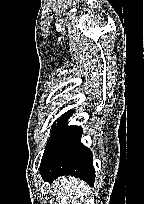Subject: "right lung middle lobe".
Returning a JSON list of instances; mask_svg holds the SVG:
<instances>
[{
	"label": "right lung middle lobe",
	"mask_w": 144,
	"mask_h": 204,
	"mask_svg": "<svg viewBox=\"0 0 144 204\" xmlns=\"http://www.w3.org/2000/svg\"><path fill=\"white\" fill-rule=\"evenodd\" d=\"M62 118V117H61ZM61 118H60V120H61ZM59 120V119H58ZM57 120V121H58ZM60 120H59V122H60ZM59 122L57 123V126H58V124H59ZM57 126L55 127V125H54V127H53V132H52V134H51V137H50V139L52 138V136L54 135V133H55V131H56V129H57ZM49 139V140H50ZM49 142V141H48Z\"/></svg>",
	"instance_id": "dd1d6c3e"
}]
</instances>
